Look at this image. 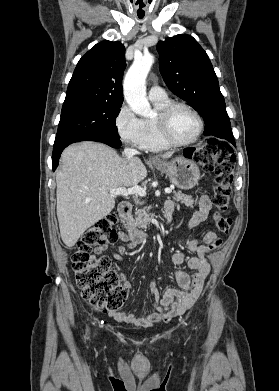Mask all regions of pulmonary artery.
I'll list each match as a JSON object with an SVG mask.
<instances>
[{
	"mask_svg": "<svg viewBox=\"0 0 279 391\" xmlns=\"http://www.w3.org/2000/svg\"><path fill=\"white\" fill-rule=\"evenodd\" d=\"M148 97L151 101H162L167 99V93L160 86L152 85L149 89Z\"/></svg>",
	"mask_w": 279,
	"mask_h": 391,
	"instance_id": "obj_1",
	"label": "pulmonary artery"
}]
</instances>
